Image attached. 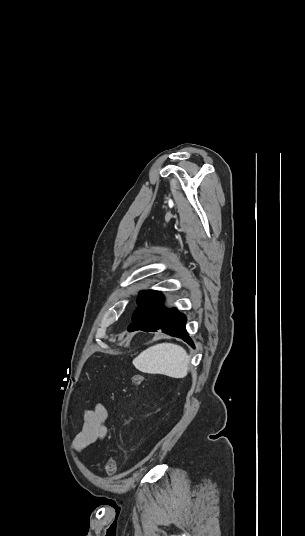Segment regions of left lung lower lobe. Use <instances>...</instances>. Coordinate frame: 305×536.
Here are the masks:
<instances>
[{"mask_svg": "<svg viewBox=\"0 0 305 536\" xmlns=\"http://www.w3.org/2000/svg\"><path fill=\"white\" fill-rule=\"evenodd\" d=\"M163 301L164 296L157 292L141 303L132 315V323L128 326V331L153 332L162 330L166 334L183 339L194 347L185 329L186 317L179 313L176 308H165Z\"/></svg>", "mask_w": 305, "mask_h": 536, "instance_id": "0a47b994", "label": "left lung lower lobe"}]
</instances>
